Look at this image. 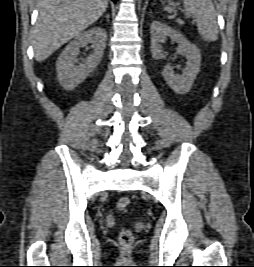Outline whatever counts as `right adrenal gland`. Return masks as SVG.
<instances>
[{"mask_svg":"<svg viewBox=\"0 0 254 267\" xmlns=\"http://www.w3.org/2000/svg\"><path fill=\"white\" fill-rule=\"evenodd\" d=\"M105 17H106V19L109 21V14H106Z\"/></svg>","mask_w":254,"mask_h":267,"instance_id":"1","label":"right adrenal gland"}]
</instances>
